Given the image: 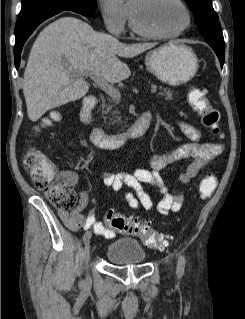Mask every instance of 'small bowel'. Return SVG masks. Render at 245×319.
I'll return each mask as SVG.
<instances>
[{"mask_svg":"<svg viewBox=\"0 0 245 319\" xmlns=\"http://www.w3.org/2000/svg\"><path fill=\"white\" fill-rule=\"evenodd\" d=\"M178 126L190 140L189 143L180 145L168 154L152 155L148 169L137 168L132 172L106 173L102 175L103 183L119 193L130 209L138 210L142 208L146 211H151L155 208L153 201L143 188V185L147 184L156 188L163 195V198L156 205V209L160 214L167 215L170 212H177L185 200V194L181 190L171 191L160 172L176 161L190 159L191 163L179 176L180 183L187 185L222 153L223 147L220 144L202 142L200 130L190 123L178 121ZM71 175V183L77 185L78 178L76 174L71 173ZM126 187L130 190H126ZM88 204L89 195L81 190L77 207L72 212L60 210L58 215L71 230H91L97 236L107 239L115 238L116 231L97 220L95 203H93L88 212L84 213Z\"/></svg>","mask_w":245,"mask_h":319,"instance_id":"obj_1","label":"small bowel"}]
</instances>
